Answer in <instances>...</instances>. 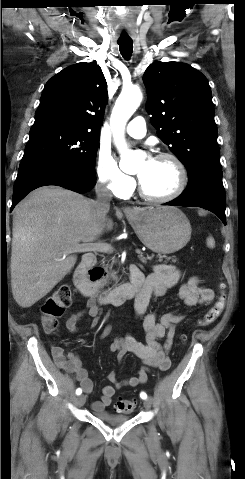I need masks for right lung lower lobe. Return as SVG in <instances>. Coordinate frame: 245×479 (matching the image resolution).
I'll list each match as a JSON object with an SVG mask.
<instances>
[{
  "instance_id": "98d812e1",
  "label": "right lung lower lobe",
  "mask_w": 245,
  "mask_h": 479,
  "mask_svg": "<svg viewBox=\"0 0 245 479\" xmlns=\"http://www.w3.org/2000/svg\"><path fill=\"white\" fill-rule=\"evenodd\" d=\"M95 182V174L63 164L45 163L20 169L14 184L11 211L29 192L38 187L57 185L85 193L94 187Z\"/></svg>"
}]
</instances>
